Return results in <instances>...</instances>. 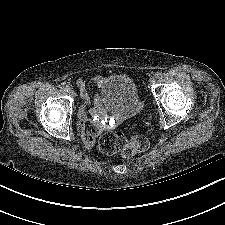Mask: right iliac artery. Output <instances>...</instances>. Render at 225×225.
<instances>
[{"mask_svg":"<svg viewBox=\"0 0 225 225\" xmlns=\"http://www.w3.org/2000/svg\"><path fill=\"white\" fill-rule=\"evenodd\" d=\"M69 89H70V87H69V86H67V85H64V86H63V90H64V91L68 92V91H69Z\"/></svg>","mask_w":225,"mask_h":225,"instance_id":"82829eb1","label":"right iliac artery"}]
</instances>
